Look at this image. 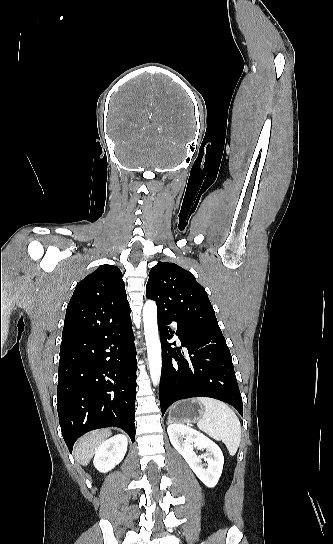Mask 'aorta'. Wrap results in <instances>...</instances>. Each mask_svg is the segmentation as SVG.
Masks as SVG:
<instances>
[{"label": "aorta", "instance_id": "aorta-1", "mask_svg": "<svg viewBox=\"0 0 333 544\" xmlns=\"http://www.w3.org/2000/svg\"><path fill=\"white\" fill-rule=\"evenodd\" d=\"M144 331L152 383L156 386L161 377V344L157 326V305L148 300L143 307Z\"/></svg>", "mask_w": 333, "mask_h": 544}]
</instances>
